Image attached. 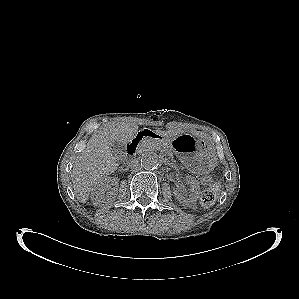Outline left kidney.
Listing matches in <instances>:
<instances>
[{
	"label": "left kidney",
	"mask_w": 299,
	"mask_h": 299,
	"mask_svg": "<svg viewBox=\"0 0 299 299\" xmlns=\"http://www.w3.org/2000/svg\"><path fill=\"white\" fill-rule=\"evenodd\" d=\"M185 182L191 186V194L189 196L183 194L182 190L178 188L174 189L173 193L180 203L186 206H191L196 203L200 196V186L199 182L190 175L186 176Z\"/></svg>",
	"instance_id": "obj_1"
}]
</instances>
